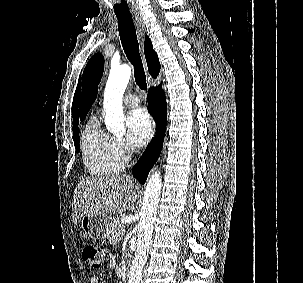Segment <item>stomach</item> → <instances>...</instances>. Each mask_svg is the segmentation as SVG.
I'll return each mask as SVG.
<instances>
[{
    "label": "stomach",
    "mask_w": 303,
    "mask_h": 283,
    "mask_svg": "<svg viewBox=\"0 0 303 283\" xmlns=\"http://www.w3.org/2000/svg\"><path fill=\"white\" fill-rule=\"evenodd\" d=\"M113 219L109 216L90 215L81 218V228L86 238L103 240L110 234Z\"/></svg>",
    "instance_id": "obj_1"
}]
</instances>
